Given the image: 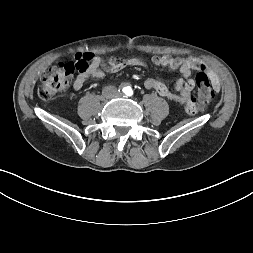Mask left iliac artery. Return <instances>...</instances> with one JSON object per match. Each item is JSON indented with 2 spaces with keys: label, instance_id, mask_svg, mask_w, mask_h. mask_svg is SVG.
<instances>
[{
  "label": "left iliac artery",
  "instance_id": "44dca946",
  "mask_svg": "<svg viewBox=\"0 0 253 253\" xmlns=\"http://www.w3.org/2000/svg\"><path fill=\"white\" fill-rule=\"evenodd\" d=\"M125 94H126L127 96H132V95H133V90H132L130 87H127V88L125 89Z\"/></svg>",
  "mask_w": 253,
  "mask_h": 253
}]
</instances>
